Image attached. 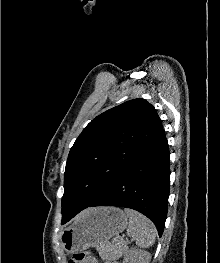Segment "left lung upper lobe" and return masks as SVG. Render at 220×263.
<instances>
[{
	"instance_id": "1",
	"label": "left lung upper lobe",
	"mask_w": 220,
	"mask_h": 263,
	"mask_svg": "<svg viewBox=\"0 0 220 263\" xmlns=\"http://www.w3.org/2000/svg\"><path fill=\"white\" fill-rule=\"evenodd\" d=\"M162 128L155 108L142 98L93 119L69 152L62 218L87 208Z\"/></svg>"
}]
</instances>
